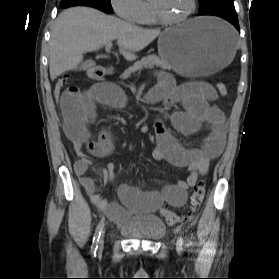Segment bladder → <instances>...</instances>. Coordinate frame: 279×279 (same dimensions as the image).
<instances>
[{
    "label": "bladder",
    "mask_w": 279,
    "mask_h": 279,
    "mask_svg": "<svg viewBox=\"0 0 279 279\" xmlns=\"http://www.w3.org/2000/svg\"><path fill=\"white\" fill-rule=\"evenodd\" d=\"M119 230L128 238L142 240H157L165 234L164 222L154 215L131 217L120 224Z\"/></svg>",
    "instance_id": "obj_1"
}]
</instances>
